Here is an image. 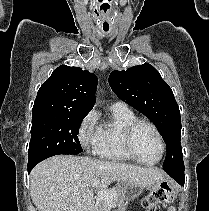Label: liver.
<instances>
[{
	"label": "liver",
	"mask_w": 209,
	"mask_h": 211,
	"mask_svg": "<svg viewBox=\"0 0 209 211\" xmlns=\"http://www.w3.org/2000/svg\"><path fill=\"white\" fill-rule=\"evenodd\" d=\"M95 180H100V188L113 182L151 187L163 180V172L84 156L57 155L33 168L30 195L39 211H96Z\"/></svg>",
	"instance_id": "6515ba94"
}]
</instances>
